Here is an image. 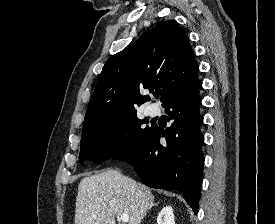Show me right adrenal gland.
<instances>
[{"mask_svg":"<svg viewBox=\"0 0 275 224\" xmlns=\"http://www.w3.org/2000/svg\"><path fill=\"white\" fill-rule=\"evenodd\" d=\"M159 202L157 203H153L152 205H150V207L147 209V211H149L153 206H158ZM146 215V212L144 214V216Z\"/></svg>","mask_w":275,"mask_h":224,"instance_id":"right-adrenal-gland-1","label":"right adrenal gland"}]
</instances>
